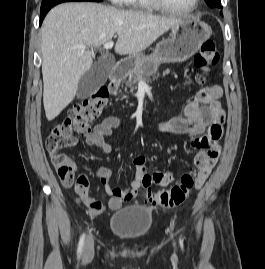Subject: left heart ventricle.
<instances>
[{"mask_svg":"<svg viewBox=\"0 0 265 269\" xmlns=\"http://www.w3.org/2000/svg\"><path fill=\"white\" fill-rule=\"evenodd\" d=\"M169 6L178 9H188L192 6L194 0H163Z\"/></svg>","mask_w":265,"mask_h":269,"instance_id":"obj_1","label":"left heart ventricle"}]
</instances>
